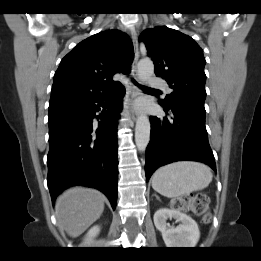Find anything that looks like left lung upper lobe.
<instances>
[{"mask_svg":"<svg viewBox=\"0 0 261 261\" xmlns=\"http://www.w3.org/2000/svg\"><path fill=\"white\" fill-rule=\"evenodd\" d=\"M154 62V73L173 89L162 104L185 100L204 108L206 64L203 50L188 35L166 26L145 30L139 37Z\"/></svg>","mask_w":261,"mask_h":261,"instance_id":"obj_1","label":"left lung upper lobe"}]
</instances>
